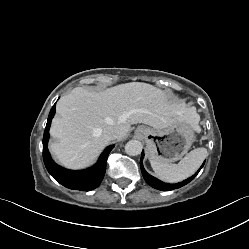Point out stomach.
<instances>
[{
    "mask_svg": "<svg viewBox=\"0 0 249 249\" xmlns=\"http://www.w3.org/2000/svg\"><path fill=\"white\" fill-rule=\"evenodd\" d=\"M136 133L141 134L146 141L149 160L162 163L182 159L195 141L191 117L178 119L165 129L140 126Z\"/></svg>",
    "mask_w": 249,
    "mask_h": 249,
    "instance_id": "0dacf381",
    "label": "stomach"
}]
</instances>
